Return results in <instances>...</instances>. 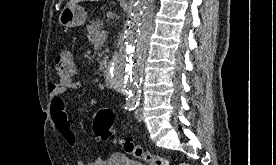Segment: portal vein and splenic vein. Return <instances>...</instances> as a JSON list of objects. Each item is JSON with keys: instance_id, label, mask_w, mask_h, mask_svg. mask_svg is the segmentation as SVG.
<instances>
[{"instance_id": "portal-vein-and-splenic-vein-1", "label": "portal vein and splenic vein", "mask_w": 276, "mask_h": 165, "mask_svg": "<svg viewBox=\"0 0 276 165\" xmlns=\"http://www.w3.org/2000/svg\"><path fill=\"white\" fill-rule=\"evenodd\" d=\"M106 36H107V33L106 31L103 30L98 34V40L105 39Z\"/></svg>"}]
</instances>
